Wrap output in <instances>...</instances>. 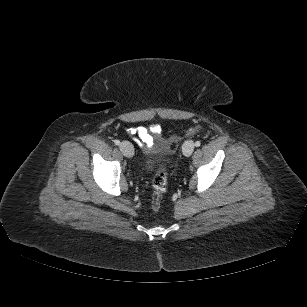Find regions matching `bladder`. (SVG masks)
Returning <instances> with one entry per match:
<instances>
[{"label": "bladder", "mask_w": 307, "mask_h": 307, "mask_svg": "<svg viewBox=\"0 0 307 307\" xmlns=\"http://www.w3.org/2000/svg\"><path fill=\"white\" fill-rule=\"evenodd\" d=\"M155 165V160H150L146 165H145V170L150 171Z\"/></svg>", "instance_id": "bladder-1"}]
</instances>
